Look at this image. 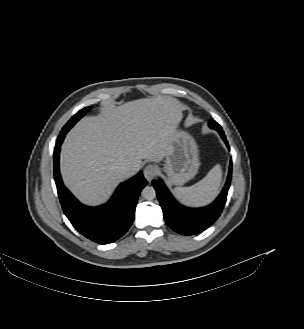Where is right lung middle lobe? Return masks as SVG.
<instances>
[{
    "label": "right lung middle lobe",
    "mask_w": 304,
    "mask_h": 329,
    "mask_svg": "<svg viewBox=\"0 0 304 329\" xmlns=\"http://www.w3.org/2000/svg\"><path fill=\"white\" fill-rule=\"evenodd\" d=\"M90 110V107H85L84 109L77 112L62 128L60 135H65L74 125L75 123L86 114Z\"/></svg>",
    "instance_id": "right-lung-middle-lobe-1"
}]
</instances>
